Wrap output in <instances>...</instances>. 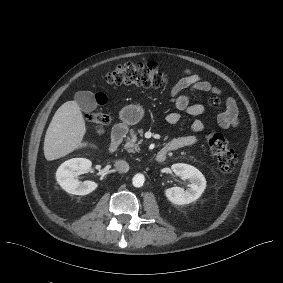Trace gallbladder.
<instances>
[{
  "label": "gallbladder",
  "mask_w": 283,
  "mask_h": 283,
  "mask_svg": "<svg viewBox=\"0 0 283 283\" xmlns=\"http://www.w3.org/2000/svg\"><path fill=\"white\" fill-rule=\"evenodd\" d=\"M75 101L84 112H91L96 109L95 96L90 91H79L75 94Z\"/></svg>",
  "instance_id": "obj_1"
}]
</instances>
